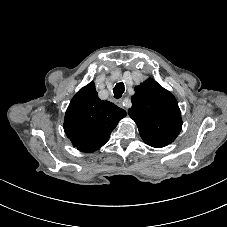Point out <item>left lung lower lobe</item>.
Wrapping results in <instances>:
<instances>
[{"instance_id": "obj_1", "label": "left lung lower lobe", "mask_w": 227, "mask_h": 227, "mask_svg": "<svg viewBox=\"0 0 227 227\" xmlns=\"http://www.w3.org/2000/svg\"><path fill=\"white\" fill-rule=\"evenodd\" d=\"M140 135H141L142 139L144 140V142L152 147L161 148V147L168 145L167 143H165L149 134L141 132Z\"/></svg>"}]
</instances>
